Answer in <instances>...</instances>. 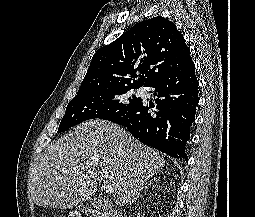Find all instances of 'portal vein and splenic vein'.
Here are the masks:
<instances>
[{
	"instance_id": "1",
	"label": "portal vein and splenic vein",
	"mask_w": 255,
	"mask_h": 217,
	"mask_svg": "<svg viewBox=\"0 0 255 217\" xmlns=\"http://www.w3.org/2000/svg\"><path fill=\"white\" fill-rule=\"evenodd\" d=\"M103 183H104L103 188H104V190H105V192H106L107 194H111V193L114 192L115 188H114L112 185L107 184L106 181H104Z\"/></svg>"
}]
</instances>
